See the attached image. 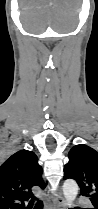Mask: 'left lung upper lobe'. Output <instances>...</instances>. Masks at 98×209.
<instances>
[{"label":"left lung upper lobe","instance_id":"left-lung-upper-lobe-1","mask_svg":"<svg viewBox=\"0 0 98 209\" xmlns=\"http://www.w3.org/2000/svg\"><path fill=\"white\" fill-rule=\"evenodd\" d=\"M69 162L64 167V180L74 179L81 195L89 197L94 209H98V152L79 144L71 148Z\"/></svg>","mask_w":98,"mask_h":209}]
</instances>
